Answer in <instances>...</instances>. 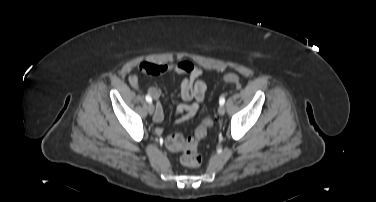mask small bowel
<instances>
[{"label":"small bowel","mask_w":376,"mask_h":202,"mask_svg":"<svg viewBox=\"0 0 376 202\" xmlns=\"http://www.w3.org/2000/svg\"><path fill=\"white\" fill-rule=\"evenodd\" d=\"M168 72H170L175 78L182 77L179 89L184 103H180L176 107L174 117L176 123H181L195 116L205 99L207 85L202 79L203 72L200 68L187 61H181L174 65L141 61L138 64V72L131 73L128 80L134 89L139 90L140 84L138 73L156 76ZM147 93L156 102L153 120L156 123L163 122L164 110L160 102L161 90L157 87H149Z\"/></svg>","instance_id":"small-bowel-1"}]
</instances>
